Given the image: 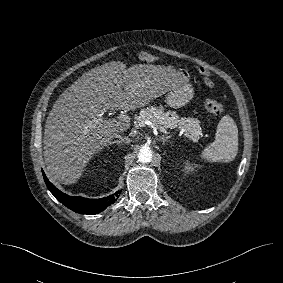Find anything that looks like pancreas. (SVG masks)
Returning <instances> with one entry per match:
<instances>
[{
    "instance_id": "1",
    "label": "pancreas",
    "mask_w": 283,
    "mask_h": 283,
    "mask_svg": "<svg viewBox=\"0 0 283 283\" xmlns=\"http://www.w3.org/2000/svg\"><path fill=\"white\" fill-rule=\"evenodd\" d=\"M138 124L143 126L145 121L149 120L158 127L165 129L178 128L184 130L185 135L194 139H199L201 134V125L199 120L193 117H181L176 112L164 111L162 106L147 107L141 109L139 116L136 118Z\"/></svg>"
}]
</instances>
